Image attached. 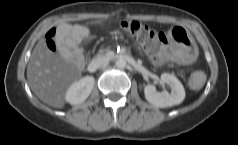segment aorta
<instances>
[{
  "mask_svg": "<svg viewBox=\"0 0 238 145\" xmlns=\"http://www.w3.org/2000/svg\"><path fill=\"white\" fill-rule=\"evenodd\" d=\"M115 65L119 69H124L127 66V61L124 58H118L115 62Z\"/></svg>",
  "mask_w": 238,
  "mask_h": 145,
  "instance_id": "762f6f07",
  "label": "aorta"
}]
</instances>
